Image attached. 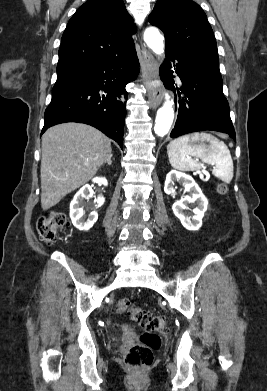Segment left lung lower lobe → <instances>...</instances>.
I'll list each match as a JSON object with an SVG mask.
<instances>
[{"instance_id": "1", "label": "left lung lower lobe", "mask_w": 267, "mask_h": 391, "mask_svg": "<svg viewBox=\"0 0 267 391\" xmlns=\"http://www.w3.org/2000/svg\"><path fill=\"white\" fill-rule=\"evenodd\" d=\"M166 59L160 67V77L168 87H174L170 70L171 62L182 82L178 117L170 137L203 130L227 133L236 141L235 131L230 119L229 105L222 90V77L219 66L189 58L179 51L166 47ZM180 96V94H179Z\"/></svg>"}]
</instances>
